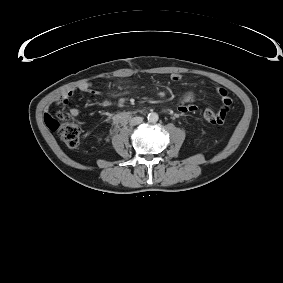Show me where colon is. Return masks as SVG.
I'll use <instances>...</instances> for the list:
<instances>
[{
    "instance_id": "5ec220e1",
    "label": "colon",
    "mask_w": 283,
    "mask_h": 283,
    "mask_svg": "<svg viewBox=\"0 0 283 283\" xmlns=\"http://www.w3.org/2000/svg\"><path fill=\"white\" fill-rule=\"evenodd\" d=\"M230 103L227 101L226 103ZM230 107H225L221 110H214L212 108H206L203 112L204 119L211 124H221L224 122L226 115ZM44 122L46 126L55 131L59 138L70 147H76L80 142L81 130L80 127L67 121L63 111H57L54 115L46 114L44 116Z\"/></svg>"
}]
</instances>
